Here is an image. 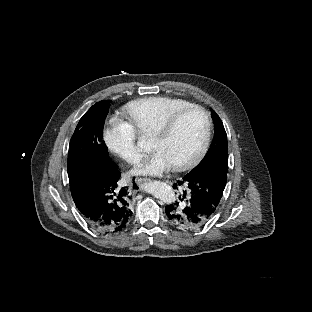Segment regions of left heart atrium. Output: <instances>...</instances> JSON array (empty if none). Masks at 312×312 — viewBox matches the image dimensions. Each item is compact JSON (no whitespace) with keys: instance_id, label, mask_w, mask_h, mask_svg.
Masks as SVG:
<instances>
[{"instance_id":"1","label":"left heart atrium","mask_w":312,"mask_h":312,"mask_svg":"<svg viewBox=\"0 0 312 312\" xmlns=\"http://www.w3.org/2000/svg\"><path fill=\"white\" fill-rule=\"evenodd\" d=\"M172 166V157L167 152L158 154L154 160L140 162L135 167V172L140 177L155 176L160 177L169 172Z\"/></svg>"}]
</instances>
